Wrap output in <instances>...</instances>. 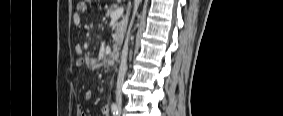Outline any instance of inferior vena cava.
I'll use <instances>...</instances> for the list:
<instances>
[{
  "label": "inferior vena cava",
  "mask_w": 283,
  "mask_h": 116,
  "mask_svg": "<svg viewBox=\"0 0 283 116\" xmlns=\"http://www.w3.org/2000/svg\"><path fill=\"white\" fill-rule=\"evenodd\" d=\"M139 3H140V0L134 1V12L137 11ZM128 42H129V33L126 37L125 44L122 50L121 62H120V67H119L118 77H117L116 102L118 104L122 102L121 88H122L124 77H125L126 70H127Z\"/></svg>",
  "instance_id": "inferior-vena-cava-1"
}]
</instances>
